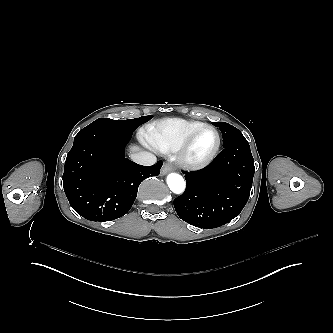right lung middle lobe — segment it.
<instances>
[{"mask_svg":"<svg viewBox=\"0 0 333 333\" xmlns=\"http://www.w3.org/2000/svg\"><path fill=\"white\" fill-rule=\"evenodd\" d=\"M153 116H142L136 119H128V120H112L109 118H99L92 122L88 126H99L111 130H116L124 133L132 134L133 131L140 126L141 124L149 121Z\"/></svg>","mask_w":333,"mask_h":333,"instance_id":"obj_1","label":"right lung middle lobe"}]
</instances>
